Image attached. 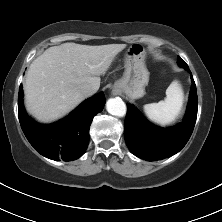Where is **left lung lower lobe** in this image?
I'll list each match as a JSON object with an SVG mask.
<instances>
[{
  "instance_id": "left-lung-lower-lobe-1",
  "label": "left lung lower lobe",
  "mask_w": 222,
  "mask_h": 222,
  "mask_svg": "<svg viewBox=\"0 0 222 222\" xmlns=\"http://www.w3.org/2000/svg\"><path fill=\"white\" fill-rule=\"evenodd\" d=\"M191 77L192 74L188 69ZM198 98L194 80L184 120L175 127L160 128L147 121L131 104H127L124 138L129 150L139 158L156 161L179 152L188 142L197 118Z\"/></svg>"
}]
</instances>
